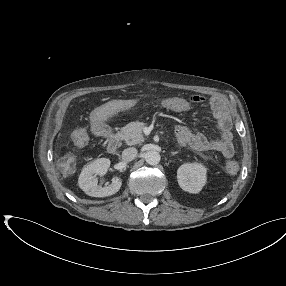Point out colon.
Returning <instances> with one entry per match:
<instances>
[{
  "label": "colon",
  "instance_id": "1",
  "mask_svg": "<svg viewBox=\"0 0 286 286\" xmlns=\"http://www.w3.org/2000/svg\"><path fill=\"white\" fill-rule=\"evenodd\" d=\"M87 140H88V135L85 129H79L73 135V142L78 147L85 146L87 143ZM64 162L68 165H73L75 163V159L73 156H67L64 158ZM227 169L229 172H235L237 170V164L234 162H230L227 165Z\"/></svg>",
  "mask_w": 286,
  "mask_h": 286
}]
</instances>
